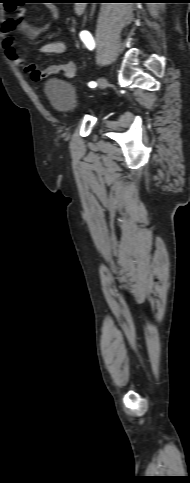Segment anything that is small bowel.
I'll use <instances>...</instances> for the list:
<instances>
[{
	"instance_id": "small-bowel-1",
	"label": "small bowel",
	"mask_w": 190,
	"mask_h": 483,
	"mask_svg": "<svg viewBox=\"0 0 190 483\" xmlns=\"http://www.w3.org/2000/svg\"><path fill=\"white\" fill-rule=\"evenodd\" d=\"M53 19H57L59 12L56 6L49 7ZM53 26L52 22H48L40 27L32 26L25 20L24 9L18 10L13 18L4 20L1 26L2 45L5 54L11 62L18 68L26 72L34 82H40L45 77L61 72L66 79H72L76 75V65L72 61L53 62L45 69H41L37 63L26 64L24 59L16 52L15 39L12 36L14 31H19L30 39H35L41 33L47 31ZM68 50L66 43L62 41H50L43 44L39 48L41 54H64Z\"/></svg>"
}]
</instances>
